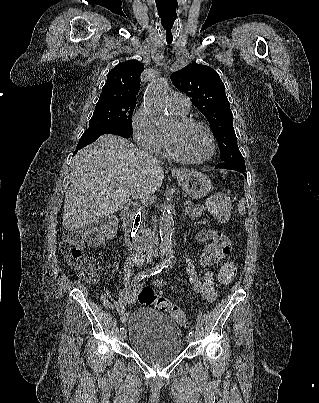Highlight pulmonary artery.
<instances>
[{
    "label": "pulmonary artery",
    "mask_w": 319,
    "mask_h": 403,
    "mask_svg": "<svg viewBox=\"0 0 319 403\" xmlns=\"http://www.w3.org/2000/svg\"><path fill=\"white\" fill-rule=\"evenodd\" d=\"M169 107L173 112L185 115L190 109V101L185 95L174 93L170 96Z\"/></svg>",
    "instance_id": "e3ab8cb5"
}]
</instances>
